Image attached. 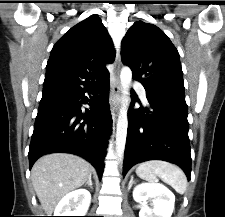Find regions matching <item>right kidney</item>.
Returning a JSON list of instances; mask_svg holds the SVG:
<instances>
[{
  "mask_svg": "<svg viewBox=\"0 0 225 217\" xmlns=\"http://www.w3.org/2000/svg\"><path fill=\"white\" fill-rule=\"evenodd\" d=\"M91 202V194L86 189L68 193L58 203L54 216H85Z\"/></svg>",
  "mask_w": 225,
  "mask_h": 217,
  "instance_id": "right-kidney-1",
  "label": "right kidney"
}]
</instances>
